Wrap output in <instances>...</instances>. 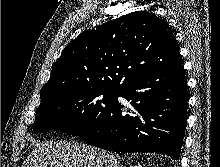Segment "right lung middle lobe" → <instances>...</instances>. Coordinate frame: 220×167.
I'll return each instance as SVG.
<instances>
[{"mask_svg":"<svg viewBox=\"0 0 220 167\" xmlns=\"http://www.w3.org/2000/svg\"><path fill=\"white\" fill-rule=\"evenodd\" d=\"M118 90L84 87L64 91L45 101L36 110V132L59 130L80 135L97 124L112 107Z\"/></svg>","mask_w":220,"mask_h":167,"instance_id":"obj_1","label":"right lung middle lobe"}]
</instances>
